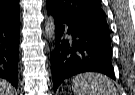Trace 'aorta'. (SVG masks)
<instances>
[{"instance_id": "762f6f07", "label": "aorta", "mask_w": 135, "mask_h": 95, "mask_svg": "<svg viewBox=\"0 0 135 95\" xmlns=\"http://www.w3.org/2000/svg\"><path fill=\"white\" fill-rule=\"evenodd\" d=\"M45 34L49 40H52L55 36V24H54V18L49 17L45 24Z\"/></svg>"}]
</instances>
